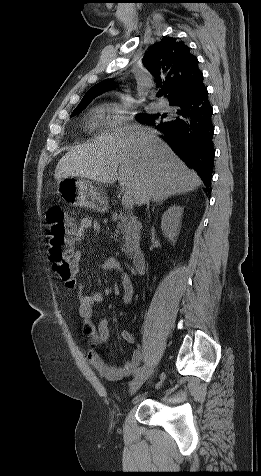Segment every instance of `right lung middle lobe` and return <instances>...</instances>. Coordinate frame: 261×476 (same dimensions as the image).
Listing matches in <instances>:
<instances>
[{
	"label": "right lung middle lobe",
	"mask_w": 261,
	"mask_h": 476,
	"mask_svg": "<svg viewBox=\"0 0 261 476\" xmlns=\"http://www.w3.org/2000/svg\"><path fill=\"white\" fill-rule=\"evenodd\" d=\"M85 107H86V105H82V106H79V107L75 108L74 111L71 114V117L80 113ZM159 116L160 115H158V114L157 115L139 114L138 118L141 119L142 121L146 122V123H149V122H153L156 119H158Z\"/></svg>",
	"instance_id": "1"
}]
</instances>
